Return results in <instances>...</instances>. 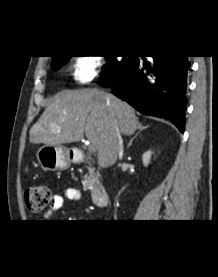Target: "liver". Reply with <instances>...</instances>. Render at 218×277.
Returning a JSON list of instances; mask_svg holds the SVG:
<instances>
[{
    "label": "liver",
    "instance_id": "liver-1",
    "mask_svg": "<svg viewBox=\"0 0 218 277\" xmlns=\"http://www.w3.org/2000/svg\"><path fill=\"white\" fill-rule=\"evenodd\" d=\"M134 109L112 94L96 89L63 91L46 107L30 130V142L49 146L79 142L84 133L98 151V164H115L118 133L139 127Z\"/></svg>",
    "mask_w": 218,
    "mask_h": 277
}]
</instances>
